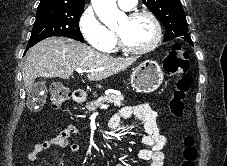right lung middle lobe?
<instances>
[{
    "mask_svg": "<svg viewBox=\"0 0 227 166\" xmlns=\"http://www.w3.org/2000/svg\"><path fill=\"white\" fill-rule=\"evenodd\" d=\"M83 8L72 7H38L28 45L52 37L64 36L84 42L79 29V19Z\"/></svg>",
    "mask_w": 227,
    "mask_h": 166,
    "instance_id": "right-lung-middle-lobe-1",
    "label": "right lung middle lobe"
}]
</instances>
